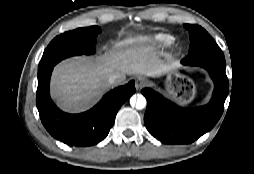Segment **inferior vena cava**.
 Masks as SVG:
<instances>
[{
	"mask_svg": "<svg viewBox=\"0 0 254 174\" xmlns=\"http://www.w3.org/2000/svg\"><path fill=\"white\" fill-rule=\"evenodd\" d=\"M108 82L110 84H119L120 83V76L119 75H112L109 77Z\"/></svg>",
	"mask_w": 254,
	"mask_h": 174,
	"instance_id": "602c4592",
	"label": "inferior vena cava"
}]
</instances>
